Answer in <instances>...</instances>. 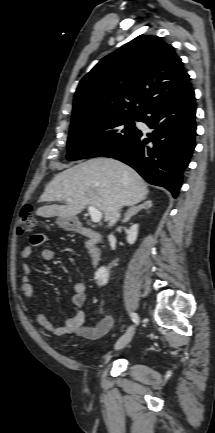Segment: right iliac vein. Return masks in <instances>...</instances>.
<instances>
[{
	"instance_id": "63e3f726",
	"label": "right iliac vein",
	"mask_w": 215,
	"mask_h": 433,
	"mask_svg": "<svg viewBox=\"0 0 215 433\" xmlns=\"http://www.w3.org/2000/svg\"><path fill=\"white\" fill-rule=\"evenodd\" d=\"M135 328L134 326H131L126 333L121 336L118 341L115 343V350H120L128 345V343L131 341L133 334H134Z\"/></svg>"
}]
</instances>
